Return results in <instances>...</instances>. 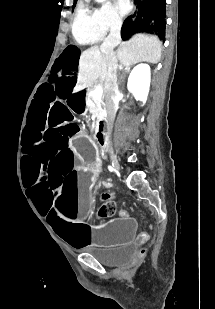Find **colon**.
<instances>
[{"label": "colon", "mask_w": 215, "mask_h": 309, "mask_svg": "<svg viewBox=\"0 0 215 309\" xmlns=\"http://www.w3.org/2000/svg\"><path fill=\"white\" fill-rule=\"evenodd\" d=\"M105 203L100 208L101 216L104 218H110L115 215L116 212V201L112 198L110 194H106Z\"/></svg>", "instance_id": "5ec220e1"}]
</instances>
